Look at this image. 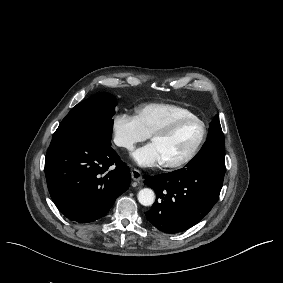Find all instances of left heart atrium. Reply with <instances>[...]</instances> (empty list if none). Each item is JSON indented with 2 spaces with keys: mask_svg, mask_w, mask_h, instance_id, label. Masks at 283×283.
<instances>
[{
  "mask_svg": "<svg viewBox=\"0 0 283 283\" xmlns=\"http://www.w3.org/2000/svg\"><path fill=\"white\" fill-rule=\"evenodd\" d=\"M131 157L141 168H155L165 163L163 152L155 142L136 149Z\"/></svg>",
  "mask_w": 283,
  "mask_h": 283,
  "instance_id": "1",
  "label": "left heart atrium"
}]
</instances>
